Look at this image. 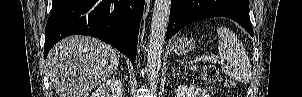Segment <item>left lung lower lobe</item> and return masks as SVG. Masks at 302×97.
Masks as SVG:
<instances>
[{"label":"left lung lower lobe","instance_id":"left-lung-lower-lobe-1","mask_svg":"<svg viewBox=\"0 0 302 97\" xmlns=\"http://www.w3.org/2000/svg\"><path fill=\"white\" fill-rule=\"evenodd\" d=\"M219 16L233 19L253 37L248 0H172L166 38L187 24Z\"/></svg>","mask_w":302,"mask_h":97}]
</instances>
